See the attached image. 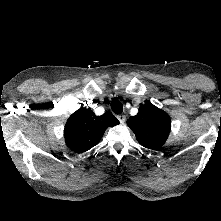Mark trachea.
I'll list each match as a JSON object with an SVG mask.
<instances>
[{"instance_id": "3493384b", "label": "trachea", "mask_w": 221, "mask_h": 221, "mask_svg": "<svg viewBox=\"0 0 221 221\" xmlns=\"http://www.w3.org/2000/svg\"><path fill=\"white\" fill-rule=\"evenodd\" d=\"M111 109L115 114H121L123 112V105L118 99L114 98L111 101Z\"/></svg>"}]
</instances>
